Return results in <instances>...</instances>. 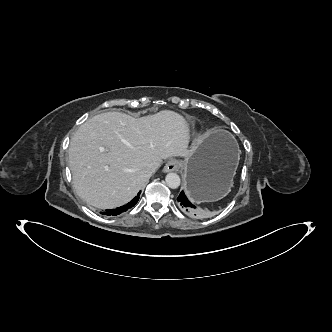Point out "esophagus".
Masks as SVG:
<instances>
[{
	"label": "esophagus",
	"instance_id": "34e87169",
	"mask_svg": "<svg viewBox=\"0 0 332 332\" xmlns=\"http://www.w3.org/2000/svg\"><path fill=\"white\" fill-rule=\"evenodd\" d=\"M179 169V162L175 159L168 160L163 168V172H171Z\"/></svg>",
	"mask_w": 332,
	"mask_h": 332
}]
</instances>
